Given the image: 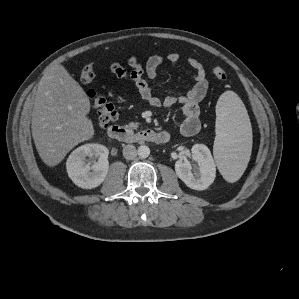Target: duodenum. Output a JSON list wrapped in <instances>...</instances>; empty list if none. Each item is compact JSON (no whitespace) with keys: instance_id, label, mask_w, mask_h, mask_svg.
Masks as SVG:
<instances>
[{"instance_id":"410a0bca","label":"duodenum","mask_w":299,"mask_h":299,"mask_svg":"<svg viewBox=\"0 0 299 299\" xmlns=\"http://www.w3.org/2000/svg\"><path fill=\"white\" fill-rule=\"evenodd\" d=\"M108 136L111 139L124 143L147 141L157 144H163L166 143L169 139L168 134L165 132H158L150 129L133 132L120 125H112L108 129Z\"/></svg>"}]
</instances>
